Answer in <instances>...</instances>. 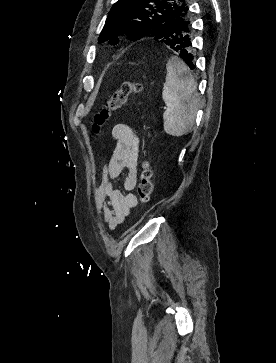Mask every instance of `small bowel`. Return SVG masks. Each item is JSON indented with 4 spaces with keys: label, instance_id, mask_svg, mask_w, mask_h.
I'll return each instance as SVG.
<instances>
[{
    "label": "small bowel",
    "instance_id": "small-bowel-1",
    "mask_svg": "<svg viewBox=\"0 0 276 363\" xmlns=\"http://www.w3.org/2000/svg\"><path fill=\"white\" fill-rule=\"evenodd\" d=\"M111 135L115 141V149L94 190V204L98 216L113 230L137 206V197L132 190L137 183L139 138L137 130L125 123L116 124ZM124 169L128 171L123 180L125 192L113 186V181Z\"/></svg>",
    "mask_w": 276,
    "mask_h": 363
}]
</instances>
